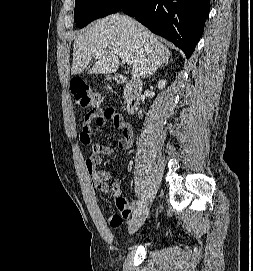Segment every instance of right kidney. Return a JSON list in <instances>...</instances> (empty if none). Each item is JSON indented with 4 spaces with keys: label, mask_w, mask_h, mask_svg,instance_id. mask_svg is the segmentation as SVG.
Returning <instances> with one entry per match:
<instances>
[{
    "label": "right kidney",
    "mask_w": 253,
    "mask_h": 271,
    "mask_svg": "<svg viewBox=\"0 0 253 271\" xmlns=\"http://www.w3.org/2000/svg\"><path fill=\"white\" fill-rule=\"evenodd\" d=\"M165 85H166V80H161L158 83V88L163 89L165 87Z\"/></svg>",
    "instance_id": "obj_1"
}]
</instances>
